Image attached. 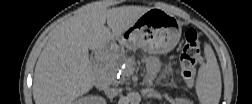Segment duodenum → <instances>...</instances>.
Segmentation results:
<instances>
[{"mask_svg":"<svg viewBox=\"0 0 252 104\" xmlns=\"http://www.w3.org/2000/svg\"><path fill=\"white\" fill-rule=\"evenodd\" d=\"M105 86V80L102 76L96 79V87L102 89Z\"/></svg>","mask_w":252,"mask_h":104,"instance_id":"410a0bca","label":"duodenum"}]
</instances>
